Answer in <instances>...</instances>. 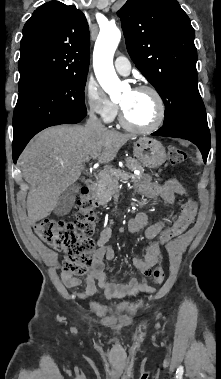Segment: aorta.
<instances>
[{"label": "aorta", "mask_w": 221, "mask_h": 379, "mask_svg": "<svg viewBox=\"0 0 221 379\" xmlns=\"http://www.w3.org/2000/svg\"><path fill=\"white\" fill-rule=\"evenodd\" d=\"M121 39V32L115 26L100 30L93 53V66L96 78L103 90L116 100L121 95L120 80L113 66V56Z\"/></svg>", "instance_id": "762f6f07"}]
</instances>
